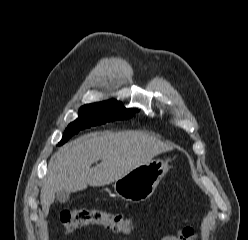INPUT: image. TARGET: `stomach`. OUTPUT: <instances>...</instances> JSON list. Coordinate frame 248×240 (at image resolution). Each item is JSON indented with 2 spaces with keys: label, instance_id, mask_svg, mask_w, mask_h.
I'll use <instances>...</instances> for the list:
<instances>
[{
  "label": "stomach",
  "instance_id": "obj_1",
  "mask_svg": "<svg viewBox=\"0 0 248 240\" xmlns=\"http://www.w3.org/2000/svg\"><path fill=\"white\" fill-rule=\"evenodd\" d=\"M168 170V161L153 159L117 179L114 192L126 201H144L154 193Z\"/></svg>",
  "mask_w": 248,
  "mask_h": 240
}]
</instances>
